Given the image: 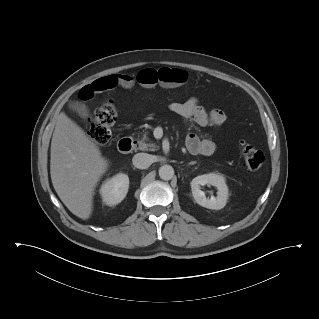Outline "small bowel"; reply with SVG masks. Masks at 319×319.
<instances>
[{"label":"small bowel","instance_id":"c3829d8e","mask_svg":"<svg viewBox=\"0 0 319 319\" xmlns=\"http://www.w3.org/2000/svg\"><path fill=\"white\" fill-rule=\"evenodd\" d=\"M186 79L185 71L171 68L144 69L136 78L137 82L145 88H152L156 85L168 88L177 87L185 83ZM134 84V78L129 75H107L82 88L80 96L82 99L88 100L95 93H101L117 86L130 89ZM169 110L199 126H221L226 121V114L222 110H206L195 97L184 102H173L169 105ZM185 145L190 153L203 156L212 155L216 148L212 141L200 139L196 134H189Z\"/></svg>","mask_w":319,"mask_h":319}]
</instances>
